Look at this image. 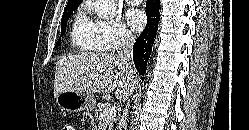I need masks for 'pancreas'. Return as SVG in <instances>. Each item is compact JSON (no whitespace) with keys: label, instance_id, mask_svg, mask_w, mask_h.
<instances>
[{"label":"pancreas","instance_id":"obj_1","mask_svg":"<svg viewBox=\"0 0 249 130\" xmlns=\"http://www.w3.org/2000/svg\"><path fill=\"white\" fill-rule=\"evenodd\" d=\"M111 107L112 106L108 103H101V104H98V106L95 108V118L99 122V125H104L106 127L108 126L109 130L112 129L115 119L104 121L101 116L105 111H107Z\"/></svg>","mask_w":249,"mask_h":130}]
</instances>
